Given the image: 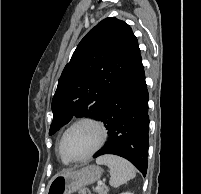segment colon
<instances>
[{
    "label": "colon",
    "mask_w": 201,
    "mask_h": 194,
    "mask_svg": "<svg viewBox=\"0 0 201 194\" xmlns=\"http://www.w3.org/2000/svg\"><path fill=\"white\" fill-rule=\"evenodd\" d=\"M79 194H91V193H90L89 190H87V189H82V190L79 192Z\"/></svg>",
    "instance_id": "1"
}]
</instances>
